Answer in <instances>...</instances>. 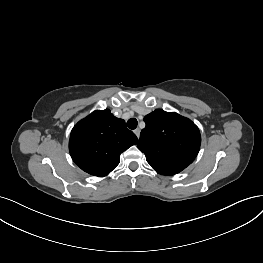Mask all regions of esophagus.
Wrapping results in <instances>:
<instances>
[{"instance_id":"34e87169","label":"esophagus","mask_w":263,"mask_h":263,"mask_svg":"<svg viewBox=\"0 0 263 263\" xmlns=\"http://www.w3.org/2000/svg\"><path fill=\"white\" fill-rule=\"evenodd\" d=\"M134 133H135V135L139 138V136H140V129H139V128H136V129L134 130Z\"/></svg>"}]
</instances>
